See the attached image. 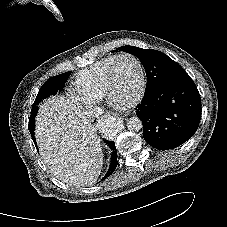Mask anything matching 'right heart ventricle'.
I'll use <instances>...</instances> for the list:
<instances>
[{
    "mask_svg": "<svg viewBox=\"0 0 227 227\" xmlns=\"http://www.w3.org/2000/svg\"><path fill=\"white\" fill-rule=\"evenodd\" d=\"M115 58L116 55L107 56L80 72L74 81L77 93L94 102L103 99L107 72Z\"/></svg>",
    "mask_w": 227,
    "mask_h": 227,
    "instance_id": "e07e8e85",
    "label": "right heart ventricle"
}]
</instances>
